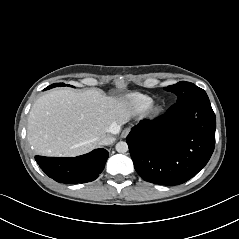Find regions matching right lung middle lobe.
<instances>
[{
  "label": "right lung middle lobe",
  "mask_w": 239,
  "mask_h": 239,
  "mask_svg": "<svg viewBox=\"0 0 239 239\" xmlns=\"http://www.w3.org/2000/svg\"><path fill=\"white\" fill-rule=\"evenodd\" d=\"M56 86H65V84L64 83H55V84L50 85L46 89H50V88H53V87H56Z\"/></svg>",
  "instance_id": "obj_1"
}]
</instances>
